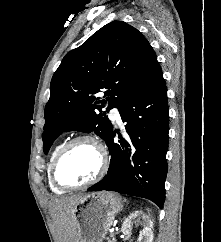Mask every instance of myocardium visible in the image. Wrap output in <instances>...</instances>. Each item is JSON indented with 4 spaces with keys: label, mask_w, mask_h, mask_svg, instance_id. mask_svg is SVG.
<instances>
[{
    "label": "myocardium",
    "mask_w": 221,
    "mask_h": 242,
    "mask_svg": "<svg viewBox=\"0 0 221 242\" xmlns=\"http://www.w3.org/2000/svg\"><path fill=\"white\" fill-rule=\"evenodd\" d=\"M82 141L90 142L94 146H96V148L98 149L99 156H100V164H99L98 170L92 178H90L89 180H87L83 183L64 184L58 179V176H57V169H58L59 163L61 162L62 158L67 153V151L74 144H76L78 142H82ZM108 164H109V160H108V154H107L106 148L99 140H97L96 138H94L93 136H90V135H85V134L78 135V136L73 137L66 143H64L63 146L58 151V153L56 154V156L52 162L51 169H50L51 180L55 186H57L58 188L63 189V190L82 189V188L88 187V186L96 183L97 181H99L106 173V171L108 169Z\"/></svg>",
    "instance_id": "obj_1"
}]
</instances>
